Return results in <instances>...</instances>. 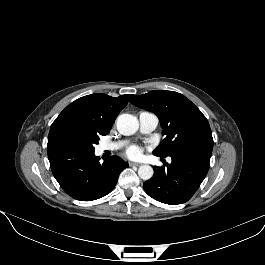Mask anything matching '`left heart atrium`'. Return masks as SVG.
<instances>
[{
    "instance_id": "39dd6f15",
    "label": "left heart atrium",
    "mask_w": 265,
    "mask_h": 265,
    "mask_svg": "<svg viewBox=\"0 0 265 265\" xmlns=\"http://www.w3.org/2000/svg\"><path fill=\"white\" fill-rule=\"evenodd\" d=\"M143 151L144 149L141 146L131 145L126 149L125 154L131 159H139L142 156Z\"/></svg>"
}]
</instances>
